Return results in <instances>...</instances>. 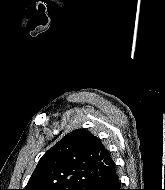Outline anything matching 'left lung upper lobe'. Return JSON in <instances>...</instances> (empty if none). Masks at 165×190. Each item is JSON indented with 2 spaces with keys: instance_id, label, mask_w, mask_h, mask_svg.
<instances>
[{
  "instance_id": "1",
  "label": "left lung upper lobe",
  "mask_w": 165,
  "mask_h": 190,
  "mask_svg": "<svg viewBox=\"0 0 165 190\" xmlns=\"http://www.w3.org/2000/svg\"><path fill=\"white\" fill-rule=\"evenodd\" d=\"M114 165L97 137L77 129L41 157L23 190H93Z\"/></svg>"
}]
</instances>
